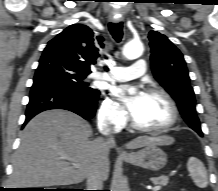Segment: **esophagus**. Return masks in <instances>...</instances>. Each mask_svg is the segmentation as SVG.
Returning <instances> with one entry per match:
<instances>
[{
  "label": "esophagus",
  "instance_id": "esophagus-1",
  "mask_svg": "<svg viewBox=\"0 0 218 191\" xmlns=\"http://www.w3.org/2000/svg\"><path fill=\"white\" fill-rule=\"evenodd\" d=\"M111 19H112V21L115 22V23H120V22H122V18H121V17H117V16H114V15L112 16ZM122 155L125 156V155H127V153H126V152H123Z\"/></svg>",
  "mask_w": 218,
  "mask_h": 191
}]
</instances>
